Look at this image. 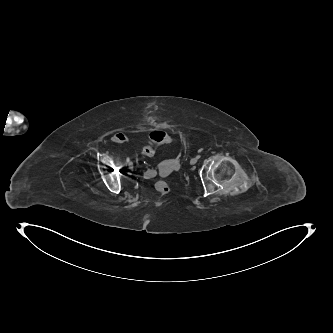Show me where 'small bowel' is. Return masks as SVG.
<instances>
[{
    "label": "small bowel",
    "instance_id": "1",
    "mask_svg": "<svg viewBox=\"0 0 333 333\" xmlns=\"http://www.w3.org/2000/svg\"><path fill=\"white\" fill-rule=\"evenodd\" d=\"M113 140H114L115 142L121 143V142L125 141V135H124L122 132H118V133H116V134L113 136ZM145 177H146V178H151L152 175L150 174L149 171H147V172L145 173Z\"/></svg>",
    "mask_w": 333,
    "mask_h": 333
}]
</instances>
